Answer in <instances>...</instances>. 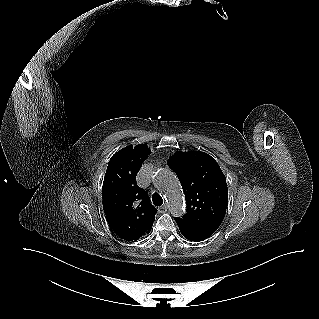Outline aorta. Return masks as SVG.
<instances>
[{
  "label": "aorta",
  "instance_id": "762f6f07",
  "mask_svg": "<svg viewBox=\"0 0 319 319\" xmlns=\"http://www.w3.org/2000/svg\"><path fill=\"white\" fill-rule=\"evenodd\" d=\"M153 183L164 193L169 211L174 217L185 214L178 180L169 169L159 168L153 175Z\"/></svg>",
  "mask_w": 319,
  "mask_h": 319
}]
</instances>
